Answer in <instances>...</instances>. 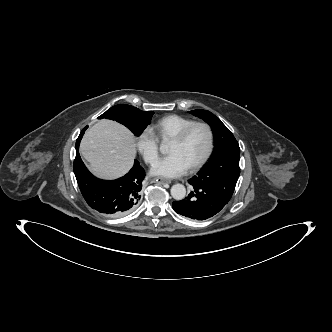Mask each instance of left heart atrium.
<instances>
[{"mask_svg":"<svg viewBox=\"0 0 332 332\" xmlns=\"http://www.w3.org/2000/svg\"><path fill=\"white\" fill-rule=\"evenodd\" d=\"M189 166L178 154H170L158 160L151 169V174L164 178H175L187 172Z\"/></svg>","mask_w":332,"mask_h":332,"instance_id":"obj_1","label":"left heart atrium"}]
</instances>
